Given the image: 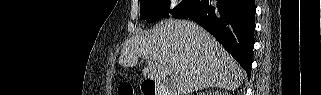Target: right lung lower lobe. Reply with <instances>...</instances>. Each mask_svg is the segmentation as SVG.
<instances>
[{"instance_id": "obj_1", "label": "right lung lower lobe", "mask_w": 321, "mask_h": 95, "mask_svg": "<svg viewBox=\"0 0 321 95\" xmlns=\"http://www.w3.org/2000/svg\"><path fill=\"white\" fill-rule=\"evenodd\" d=\"M205 0L188 18L208 32L243 67L250 78L254 46V0Z\"/></svg>"}]
</instances>
